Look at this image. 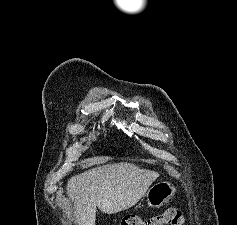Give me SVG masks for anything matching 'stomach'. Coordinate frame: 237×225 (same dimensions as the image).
Instances as JSON below:
<instances>
[{
  "label": "stomach",
  "instance_id": "obj_1",
  "mask_svg": "<svg viewBox=\"0 0 237 225\" xmlns=\"http://www.w3.org/2000/svg\"><path fill=\"white\" fill-rule=\"evenodd\" d=\"M176 193V188L169 181H159L152 185L146 197L148 205L152 208L162 207Z\"/></svg>",
  "mask_w": 237,
  "mask_h": 225
}]
</instances>
